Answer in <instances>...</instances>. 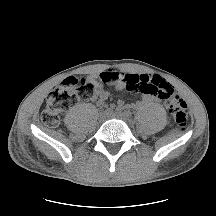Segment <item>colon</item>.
Segmentation results:
<instances>
[{"mask_svg": "<svg viewBox=\"0 0 216 216\" xmlns=\"http://www.w3.org/2000/svg\"><path fill=\"white\" fill-rule=\"evenodd\" d=\"M130 89L140 92H150L164 99L169 112L180 131H185L188 124V107L186 102L175 92L167 82L156 85L131 81ZM97 90V82L90 78L71 76L55 88L47 97L41 120L48 126H56L60 116L75 106L81 100L91 98Z\"/></svg>", "mask_w": 216, "mask_h": 216, "instance_id": "obj_1", "label": "colon"}]
</instances>
